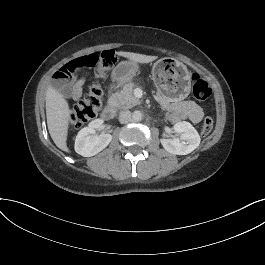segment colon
Segmentation results:
<instances>
[{
    "mask_svg": "<svg viewBox=\"0 0 265 265\" xmlns=\"http://www.w3.org/2000/svg\"><path fill=\"white\" fill-rule=\"evenodd\" d=\"M116 62L115 54L112 50L92 53L79 57L61 67L54 74V77L63 80L82 69H93L98 78L113 67ZM192 93L195 99L204 101L211 95L209 84L197 73L192 75ZM103 103V91L99 84L93 83L84 98L79 101L71 110V121L75 127H81L86 122L92 120L99 113ZM214 121L211 117H206L202 123L201 132L203 135L211 133Z\"/></svg>",
    "mask_w": 265,
    "mask_h": 265,
    "instance_id": "5ec220e1",
    "label": "colon"
}]
</instances>
